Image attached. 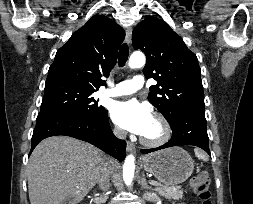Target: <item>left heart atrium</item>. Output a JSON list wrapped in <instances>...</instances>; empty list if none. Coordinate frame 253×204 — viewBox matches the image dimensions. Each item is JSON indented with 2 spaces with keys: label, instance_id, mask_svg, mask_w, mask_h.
<instances>
[{
  "label": "left heart atrium",
  "instance_id": "left-heart-atrium-1",
  "mask_svg": "<svg viewBox=\"0 0 253 204\" xmlns=\"http://www.w3.org/2000/svg\"><path fill=\"white\" fill-rule=\"evenodd\" d=\"M111 116L120 127L138 135H143L154 119L149 106L135 99L115 103Z\"/></svg>",
  "mask_w": 253,
  "mask_h": 204
}]
</instances>
